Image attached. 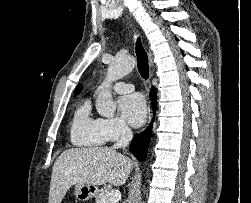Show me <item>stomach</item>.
<instances>
[{
    "instance_id": "obj_1",
    "label": "stomach",
    "mask_w": 251,
    "mask_h": 203,
    "mask_svg": "<svg viewBox=\"0 0 251 203\" xmlns=\"http://www.w3.org/2000/svg\"><path fill=\"white\" fill-rule=\"evenodd\" d=\"M98 188L93 185L79 183L75 186V196L80 201H87L90 198L96 196Z\"/></svg>"
}]
</instances>
